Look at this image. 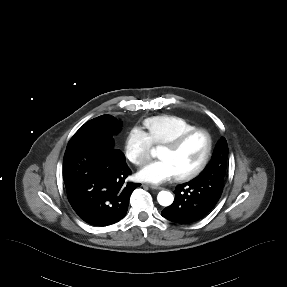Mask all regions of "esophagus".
<instances>
[{"mask_svg": "<svg viewBox=\"0 0 287 287\" xmlns=\"http://www.w3.org/2000/svg\"><path fill=\"white\" fill-rule=\"evenodd\" d=\"M147 186H148L149 188L155 189V190H161V189H162V187L157 186V185H154V184H148Z\"/></svg>", "mask_w": 287, "mask_h": 287, "instance_id": "obj_1", "label": "esophagus"}]
</instances>
